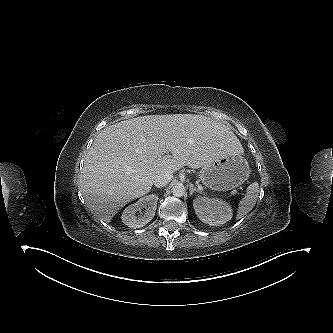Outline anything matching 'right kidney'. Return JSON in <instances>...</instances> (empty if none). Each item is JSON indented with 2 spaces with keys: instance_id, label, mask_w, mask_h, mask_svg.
<instances>
[{
  "instance_id": "right-kidney-1",
  "label": "right kidney",
  "mask_w": 333,
  "mask_h": 333,
  "mask_svg": "<svg viewBox=\"0 0 333 333\" xmlns=\"http://www.w3.org/2000/svg\"><path fill=\"white\" fill-rule=\"evenodd\" d=\"M158 202V196L149 195L139 199L136 203L128 206L121 216L122 222L130 228H141L152 220L155 215ZM145 208L143 216H137L136 213L141 212Z\"/></svg>"
}]
</instances>
